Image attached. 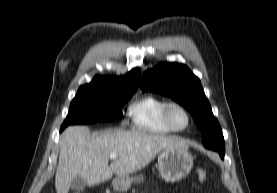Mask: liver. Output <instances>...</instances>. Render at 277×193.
I'll list each match as a JSON object with an SVG mask.
<instances>
[{
    "instance_id": "liver-1",
    "label": "liver",
    "mask_w": 277,
    "mask_h": 193,
    "mask_svg": "<svg viewBox=\"0 0 277 193\" xmlns=\"http://www.w3.org/2000/svg\"><path fill=\"white\" fill-rule=\"evenodd\" d=\"M59 148L55 187L57 193H68L75 177L93 186L111 179L113 174L127 176L141 170L164 149L188 145L177 137L139 130H107L93 137L88 127L71 126L62 133ZM114 152L117 158L109 165Z\"/></svg>"
}]
</instances>
